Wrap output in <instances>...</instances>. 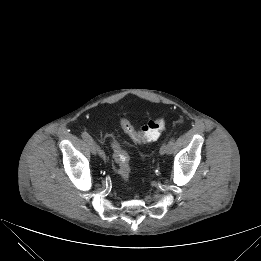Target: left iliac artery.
Here are the masks:
<instances>
[{
    "label": "left iliac artery",
    "mask_w": 261,
    "mask_h": 261,
    "mask_svg": "<svg viewBox=\"0 0 261 261\" xmlns=\"http://www.w3.org/2000/svg\"><path fill=\"white\" fill-rule=\"evenodd\" d=\"M168 153H171L173 149L175 148V137H171L168 141Z\"/></svg>",
    "instance_id": "44dca946"
}]
</instances>
